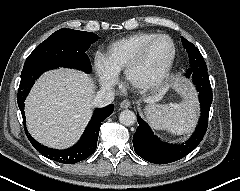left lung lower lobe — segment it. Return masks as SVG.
Returning <instances> with one entry per match:
<instances>
[{
	"label": "left lung lower lobe",
	"instance_id": "left-lung-lower-lobe-1",
	"mask_svg": "<svg viewBox=\"0 0 240 191\" xmlns=\"http://www.w3.org/2000/svg\"><path fill=\"white\" fill-rule=\"evenodd\" d=\"M189 75H192L201 104V116L195 132L185 143L180 145L161 142L153 134L148 124L137 115L139 126L133 136V146L137 155L143 159L155 164L174 162L189 154L202 141L208 127L212 90L207 72L192 73L188 70L187 76Z\"/></svg>",
	"mask_w": 240,
	"mask_h": 191
}]
</instances>
